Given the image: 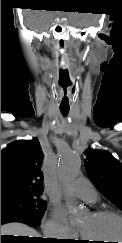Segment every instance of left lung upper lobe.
Returning a JSON list of instances; mask_svg holds the SVG:
<instances>
[{"mask_svg": "<svg viewBox=\"0 0 122 243\" xmlns=\"http://www.w3.org/2000/svg\"><path fill=\"white\" fill-rule=\"evenodd\" d=\"M87 174L98 190L122 210V164L105 150L88 149Z\"/></svg>", "mask_w": 122, "mask_h": 243, "instance_id": "5c2ea615", "label": "left lung upper lobe"}]
</instances>
